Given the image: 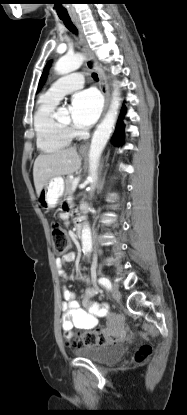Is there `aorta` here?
<instances>
[{"instance_id":"1","label":"aorta","mask_w":187,"mask_h":415,"mask_svg":"<svg viewBox=\"0 0 187 415\" xmlns=\"http://www.w3.org/2000/svg\"><path fill=\"white\" fill-rule=\"evenodd\" d=\"M83 61L84 57L81 54H75L71 56L66 55L61 57L56 62L54 69L58 74L65 75L77 70L82 65ZM118 96L119 90L118 88H114L110 108L102 122L98 125L92 137L89 150V181L91 183L92 189H94L97 180V168L100 155L110 137V134L117 119L118 109L120 106V99ZM81 241L83 251L86 253L91 252L92 235L89 225H85L83 227Z\"/></svg>"}]
</instances>
